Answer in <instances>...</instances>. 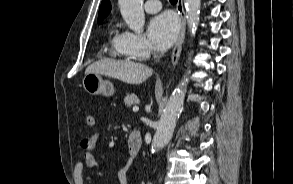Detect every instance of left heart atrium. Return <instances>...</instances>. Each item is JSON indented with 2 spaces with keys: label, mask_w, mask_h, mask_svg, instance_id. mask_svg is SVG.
Instances as JSON below:
<instances>
[{
  "label": "left heart atrium",
  "mask_w": 293,
  "mask_h": 184,
  "mask_svg": "<svg viewBox=\"0 0 293 184\" xmlns=\"http://www.w3.org/2000/svg\"><path fill=\"white\" fill-rule=\"evenodd\" d=\"M179 31V22L170 12L155 16L149 24V37L160 49H167L175 41Z\"/></svg>",
  "instance_id": "obj_1"
}]
</instances>
